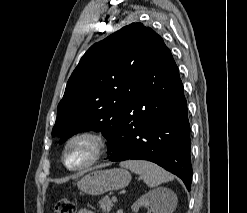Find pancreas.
Listing matches in <instances>:
<instances>
[{
	"label": "pancreas",
	"instance_id": "pancreas-1",
	"mask_svg": "<svg viewBox=\"0 0 247 213\" xmlns=\"http://www.w3.org/2000/svg\"><path fill=\"white\" fill-rule=\"evenodd\" d=\"M114 202L108 196L102 198L99 201L100 208L102 209L103 213H109L111 208L114 206Z\"/></svg>",
	"mask_w": 247,
	"mask_h": 213
}]
</instances>
